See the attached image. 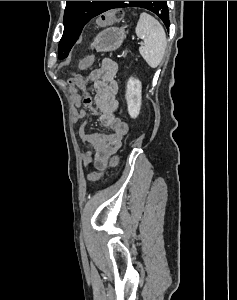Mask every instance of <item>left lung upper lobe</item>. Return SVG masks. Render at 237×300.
Returning a JSON list of instances; mask_svg holds the SVG:
<instances>
[{"instance_id": "5c2ea615", "label": "left lung upper lobe", "mask_w": 237, "mask_h": 300, "mask_svg": "<svg viewBox=\"0 0 237 300\" xmlns=\"http://www.w3.org/2000/svg\"><path fill=\"white\" fill-rule=\"evenodd\" d=\"M109 3L110 1H67L63 20L64 32L58 47L59 59L68 56L84 26L103 13ZM125 7H140L152 11L169 28V10L168 7L161 9L160 1H120V8Z\"/></svg>"}]
</instances>
